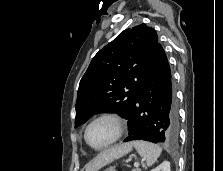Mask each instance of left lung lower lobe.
<instances>
[{"label":"left lung lower lobe","mask_w":223,"mask_h":171,"mask_svg":"<svg viewBox=\"0 0 223 171\" xmlns=\"http://www.w3.org/2000/svg\"><path fill=\"white\" fill-rule=\"evenodd\" d=\"M124 141L174 143L179 134L175 90L166 54L158 44L128 117Z\"/></svg>","instance_id":"1"}]
</instances>
